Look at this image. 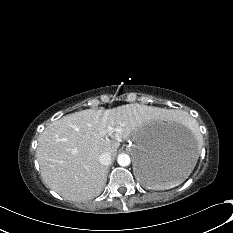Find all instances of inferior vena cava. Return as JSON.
Masks as SVG:
<instances>
[{
  "mask_svg": "<svg viewBox=\"0 0 233 233\" xmlns=\"http://www.w3.org/2000/svg\"><path fill=\"white\" fill-rule=\"evenodd\" d=\"M99 161L102 165L107 166L112 162V156L109 152H104L99 156Z\"/></svg>",
  "mask_w": 233,
  "mask_h": 233,
  "instance_id": "obj_1",
  "label": "inferior vena cava"
}]
</instances>
